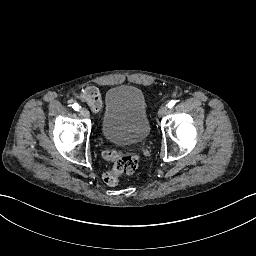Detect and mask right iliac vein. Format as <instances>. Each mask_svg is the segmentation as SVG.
I'll return each instance as SVG.
<instances>
[{
  "mask_svg": "<svg viewBox=\"0 0 256 256\" xmlns=\"http://www.w3.org/2000/svg\"><path fill=\"white\" fill-rule=\"evenodd\" d=\"M80 114L84 117V118H89L90 117V113L86 108H82L80 110Z\"/></svg>",
  "mask_w": 256,
  "mask_h": 256,
  "instance_id": "right-iliac-vein-1",
  "label": "right iliac vein"
}]
</instances>
